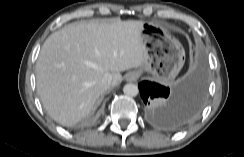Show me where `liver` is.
Returning <instances> with one entry per match:
<instances>
[{
    "instance_id": "liver-1",
    "label": "liver",
    "mask_w": 244,
    "mask_h": 157,
    "mask_svg": "<svg viewBox=\"0 0 244 157\" xmlns=\"http://www.w3.org/2000/svg\"><path fill=\"white\" fill-rule=\"evenodd\" d=\"M142 29V21L92 20L52 33L36 62L37 93L52 119L65 126L79 122L110 85L121 82L120 72L141 67ZM106 74L110 85L103 82Z\"/></svg>"
}]
</instances>
